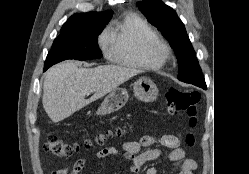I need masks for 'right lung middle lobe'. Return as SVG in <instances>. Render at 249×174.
<instances>
[{
	"mask_svg": "<svg viewBox=\"0 0 249 174\" xmlns=\"http://www.w3.org/2000/svg\"><path fill=\"white\" fill-rule=\"evenodd\" d=\"M107 23L108 21L95 22L82 28L61 32L47 55L44 71L67 59L84 61L101 58L97 38Z\"/></svg>",
	"mask_w": 249,
	"mask_h": 174,
	"instance_id": "obj_1",
	"label": "right lung middle lobe"
}]
</instances>
